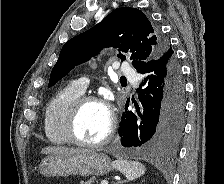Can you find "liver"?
<instances>
[{
    "instance_id": "liver-1",
    "label": "liver",
    "mask_w": 224,
    "mask_h": 184,
    "mask_svg": "<svg viewBox=\"0 0 224 184\" xmlns=\"http://www.w3.org/2000/svg\"><path fill=\"white\" fill-rule=\"evenodd\" d=\"M82 151H86V150L74 149V148H68V147L49 146L42 149L41 154H46L49 156H57V155L73 154V153H78Z\"/></svg>"
}]
</instances>
